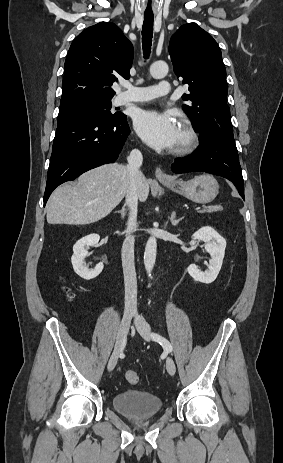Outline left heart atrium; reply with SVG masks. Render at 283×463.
Returning a JSON list of instances; mask_svg holds the SVG:
<instances>
[{
  "mask_svg": "<svg viewBox=\"0 0 283 463\" xmlns=\"http://www.w3.org/2000/svg\"><path fill=\"white\" fill-rule=\"evenodd\" d=\"M137 134L157 150L171 149L176 144L178 125L168 113L141 110L134 118Z\"/></svg>",
  "mask_w": 283,
  "mask_h": 463,
  "instance_id": "1",
  "label": "left heart atrium"
}]
</instances>
